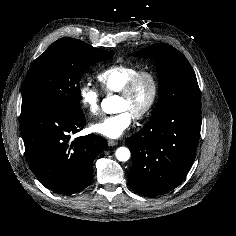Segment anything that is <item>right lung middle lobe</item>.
Returning <instances> with one entry per match:
<instances>
[{
  "instance_id": "dd1d6c3e",
  "label": "right lung middle lobe",
  "mask_w": 236,
  "mask_h": 236,
  "mask_svg": "<svg viewBox=\"0 0 236 236\" xmlns=\"http://www.w3.org/2000/svg\"><path fill=\"white\" fill-rule=\"evenodd\" d=\"M113 55V52L94 49L73 38L55 41L33 62L27 73L21 112L37 107L82 112L79 82L84 71Z\"/></svg>"
}]
</instances>
